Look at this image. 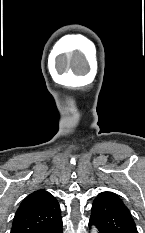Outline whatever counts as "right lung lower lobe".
Listing matches in <instances>:
<instances>
[{
    "mask_svg": "<svg viewBox=\"0 0 145 233\" xmlns=\"http://www.w3.org/2000/svg\"><path fill=\"white\" fill-rule=\"evenodd\" d=\"M47 233H63L62 220H60L54 227H52Z\"/></svg>",
    "mask_w": 145,
    "mask_h": 233,
    "instance_id": "1",
    "label": "right lung lower lobe"
}]
</instances>
